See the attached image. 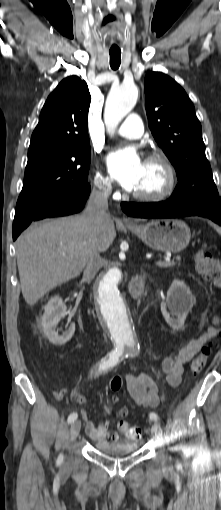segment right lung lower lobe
I'll use <instances>...</instances> for the list:
<instances>
[{
	"label": "right lung lower lobe",
	"mask_w": 221,
	"mask_h": 510,
	"mask_svg": "<svg viewBox=\"0 0 221 510\" xmlns=\"http://www.w3.org/2000/svg\"><path fill=\"white\" fill-rule=\"evenodd\" d=\"M90 193V185L70 193L49 204L28 218H20L15 214L13 222V240L32 222L48 217H58L77 213L84 208Z\"/></svg>",
	"instance_id": "obj_1"
}]
</instances>
